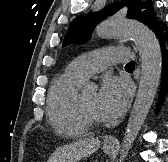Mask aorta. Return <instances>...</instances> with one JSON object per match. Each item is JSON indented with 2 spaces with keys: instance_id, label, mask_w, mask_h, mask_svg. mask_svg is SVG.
<instances>
[{
  "instance_id": "1",
  "label": "aorta",
  "mask_w": 168,
  "mask_h": 162,
  "mask_svg": "<svg viewBox=\"0 0 168 162\" xmlns=\"http://www.w3.org/2000/svg\"><path fill=\"white\" fill-rule=\"evenodd\" d=\"M95 33L104 39L131 38L141 55L140 83L123 139L121 162L137 138L157 93L162 69L161 49L155 34L136 21L110 18L98 25Z\"/></svg>"
}]
</instances>
